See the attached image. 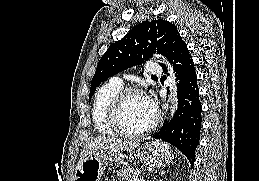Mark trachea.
I'll use <instances>...</instances> for the list:
<instances>
[{"instance_id": "trachea-1", "label": "trachea", "mask_w": 259, "mask_h": 181, "mask_svg": "<svg viewBox=\"0 0 259 181\" xmlns=\"http://www.w3.org/2000/svg\"><path fill=\"white\" fill-rule=\"evenodd\" d=\"M152 77H157L156 75H152Z\"/></svg>"}]
</instances>
